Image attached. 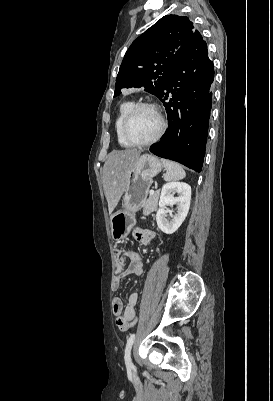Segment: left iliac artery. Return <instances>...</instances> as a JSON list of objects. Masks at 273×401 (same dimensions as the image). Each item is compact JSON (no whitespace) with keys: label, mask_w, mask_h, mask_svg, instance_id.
<instances>
[{"label":"left iliac artery","mask_w":273,"mask_h":401,"mask_svg":"<svg viewBox=\"0 0 273 401\" xmlns=\"http://www.w3.org/2000/svg\"><path fill=\"white\" fill-rule=\"evenodd\" d=\"M134 340H135V334H131L130 337L128 338V340H127V344H126V348H125L124 359H125V364H126L127 369L134 368V365H133V363L131 361V356H130L131 348H132V345L134 343Z\"/></svg>","instance_id":"left-iliac-artery-1"}]
</instances>
